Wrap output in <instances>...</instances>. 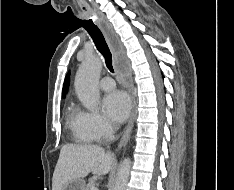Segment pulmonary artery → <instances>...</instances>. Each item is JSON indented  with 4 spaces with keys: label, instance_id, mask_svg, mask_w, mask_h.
<instances>
[{
    "label": "pulmonary artery",
    "instance_id": "1",
    "mask_svg": "<svg viewBox=\"0 0 234 190\" xmlns=\"http://www.w3.org/2000/svg\"><path fill=\"white\" fill-rule=\"evenodd\" d=\"M100 88L105 91H111L115 88V82L110 76H105L100 80Z\"/></svg>",
    "mask_w": 234,
    "mask_h": 190
}]
</instances>
